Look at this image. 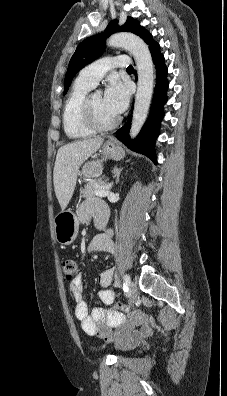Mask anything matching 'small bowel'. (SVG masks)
Here are the masks:
<instances>
[{
  "label": "small bowel",
  "mask_w": 227,
  "mask_h": 396,
  "mask_svg": "<svg viewBox=\"0 0 227 396\" xmlns=\"http://www.w3.org/2000/svg\"><path fill=\"white\" fill-rule=\"evenodd\" d=\"M108 217V209L105 203L98 199L85 201L79 208V219L87 223L91 220L103 216ZM89 250H101L113 252L115 245L109 231L95 236L89 245ZM114 278V270L106 269L99 277L102 289L98 293L100 302L105 306H111L115 301V291L110 288ZM69 290L75 301L74 313L79 320L84 332L91 336H98L102 339L115 340L120 345H131L140 342L151 335L152 329L148 320L142 315H136L131 319H126L123 307L119 310L105 307H96L89 313L88 305L84 300V282L82 274H78L69 284ZM118 328L115 335L111 329Z\"/></svg>",
  "instance_id": "small-bowel-1"
}]
</instances>
